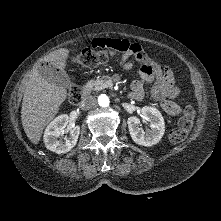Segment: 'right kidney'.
<instances>
[{"instance_id":"ca27d5eb","label":"right kidney","mask_w":221,"mask_h":221,"mask_svg":"<svg viewBox=\"0 0 221 221\" xmlns=\"http://www.w3.org/2000/svg\"><path fill=\"white\" fill-rule=\"evenodd\" d=\"M68 121V115L63 114L50 122L44 133V143L47 149L62 154L69 152L77 144L80 127L78 125L67 127ZM68 132L70 134L68 138L59 139L64 133Z\"/></svg>"}]
</instances>
